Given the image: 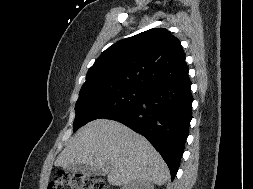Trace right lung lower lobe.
<instances>
[{"instance_id": "1", "label": "right lung lower lobe", "mask_w": 253, "mask_h": 189, "mask_svg": "<svg viewBox=\"0 0 253 189\" xmlns=\"http://www.w3.org/2000/svg\"><path fill=\"white\" fill-rule=\"evenodd\" d=\"M191 82L162 84L145 91L134 106L107 117L142 134L167 163L174 179L192 119Z\"/></svg>"}]
</instances>
